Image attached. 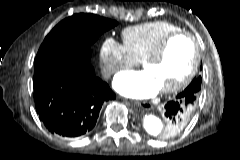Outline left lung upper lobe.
Instances as JSON below:
<instances>
[{"instance_id":"5c2ea615","label":"left lung upper lobe","mask_w":240,"mask_h":160,"mask_svg":"<svg viewBox=\"0 0 240 160\" xmlns=\"http://www.w3.org/2000/svg\"><path fill=\"white\" fill-rule=\"evenodd\" d=\"M202 82V78L201 76L195 78L191 84H195L196 83V92L198 93L200 90V85ZM193 114V111H187L185 113L182 114L183 118H184V123L181 127L176 128L175 130L172 129L171 124L169 123L168 119H167V128H166V132L164 134V137H169V136H173L174 134L180 132L189 122V120L191 119Z\"/></svg>"}]
</instances>
